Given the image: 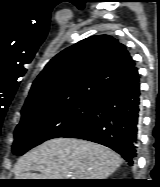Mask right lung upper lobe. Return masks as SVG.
Segmentation results:
<instances>
[{
  "label": "right lung upper lobe",
  "mask_w": 160,
  "mask_h": 187,
  "mask_svg": "<svg viewBox=\"0 0 160 187\" xmlns=\"http://www.w3.org/2000/svg\"><path fill=\"white\" fill-rule=\"evenodd\" d=\"M135 67L126 47L109 35L79 41L51 59L33 82L22 112L80 98H100Z\"/></svg>",
  "instance_id": "obj_1"
}]
</instances>
